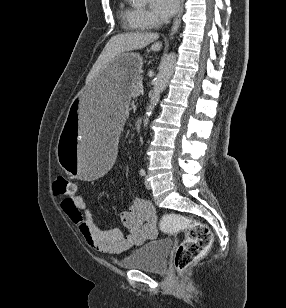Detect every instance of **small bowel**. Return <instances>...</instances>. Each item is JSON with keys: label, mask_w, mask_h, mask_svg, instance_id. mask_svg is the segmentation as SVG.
Instances as JSON below:
<instances>
[{"label": "small bowel", "mask_w": 286, "mask_h": 308, "mask_svg": "<svg viewBox=\"0 0 286 308\" xmlns=\"http://www.w3.org/2000/svg\"><path fill=\"white\" fill-rule=\"evenodd\" d=\"M61 207L86 243L103 253H123L157 236L155 208L144 198L134 199L129 208L119 214L120 221L127 230L126 235L118 228L100 229L94 223L91 209L81 194L67 196L62 200Z\"/></svg>", "instance_id": "small-bowel-1"}]
</instances>
